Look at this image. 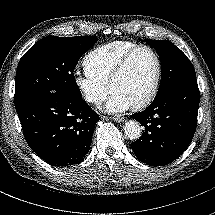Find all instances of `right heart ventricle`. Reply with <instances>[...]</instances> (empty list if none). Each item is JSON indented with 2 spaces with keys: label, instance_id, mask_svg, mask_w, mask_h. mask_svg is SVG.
I'll return each instance as SVG.
<instances>
[{
  "label": "right heart ventricle",
  "instance_id": "e07e8e85",
  "mask_svg": "<svg viewBox=\"0 0 215 215\" xmlns=\"http://www.w3.org/2000/svg\"><path fill=\"white\" fill-rule=\"evenodd\" d=\"M135 45L130 40H115L95 47L83 59L85 72L107 84L119 59Z\"/></svg>",
  "mask_w": 215,
  "mask_h": 215
}]
</instances>
